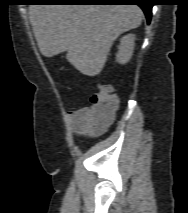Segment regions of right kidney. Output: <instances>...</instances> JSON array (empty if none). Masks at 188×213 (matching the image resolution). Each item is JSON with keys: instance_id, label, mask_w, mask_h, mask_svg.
Returning <instances> with one entry per match:
<instances>
[{"instance_id": "ca27d5eb", "label": "right kidney", "mask_w": 188, "mask_h": 213, "mask_svg": "<svg viewBox=\"0 0 188 213\" xmlns=\"http://www.w3.org/2000/svg\"><path fill=\"white\" fill-rule=\"evenodd\" d=\"M134 46H135L134 34H128L123 36L120 39V45L118 46V52L116 54L117 62L121 64L129 62V60L133 55Z\"/></svg>"}]
</instances>
